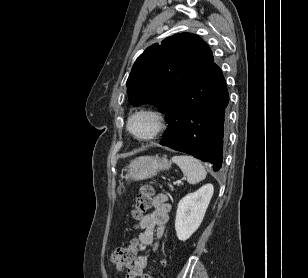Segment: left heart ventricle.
Wrapping results in <instances>:
<instances>
[{
    "label": "left heart ventricle",
    "instance_id": "left-heart-ventricle-1",
    "mask_svg": "<svg viewBox=\"0 0 308 278\" xmlns=\"http://www.w3.org/2000/svg\"><path fill=\"white\" fill-rule=\"evenodd\" d=\"M154 120L148 115L136 116L131 122L132 131L140 137L149 135L154 129Z\"/></svg>",
    "mask_w": 308,
    "mask_h": 278
}]
</instances>
